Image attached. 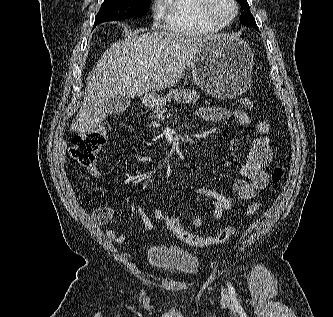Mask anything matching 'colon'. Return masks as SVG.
I'll use <instances>...</instances> for the list:
<instances>
[{"instance_id":"colon-1","label":"colon","mask_w":333,"mask_h":317,"mask_svg":"<svg viewBox=\"0 0 333 317\" xmlns=\"http://www.w3.org/2000/svg\"><path fill=\"white\" fill-rule=\"evenodd\" d=\"M239 104L245 109H252L253 102L247 97H242L239 99ZM106 142L105 132L102 130H92L80 135L75 136L72 139V145L70 147V155L75 160H77L81 165L85 167H90L94 165L96 161L97 154L104 147ZM284 175V170L281 167H276L271 173L272 183H279ZM260 207L258 201L252 202L248 205L246 209V216L250 217ZM165 219L163 222L166 224L169 230H171L181 241L188 245L194 246H209L221 244L228 241L236 232L237 228L235 226H229L220 232L203 237L197 234L190 233L185 230L180 220L172 215L171 213H164Z\"/></svg>"}]
</instances>
